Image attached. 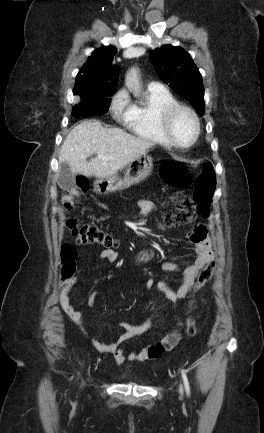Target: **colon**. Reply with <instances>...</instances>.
<instances>
[{"label": "colon", "instance_id": "obj_1", "mask_svg": "<svg viewBox=\"0 0 264 433\" xmlns=\"http://www.w3.org/2000/svg\"><path fill=\"white\" fill-rule=\"evenodd\" d=\"M161 173L163 180L175 188H187L194 186L192 195L179 194L176 199V208L163 217V227L175 228L192 223L197 217H206L210 214V205L215 190V173L213 165L205 162L200 170L193 175L190 170L177 162L166 161L162 164ZM88 182L79 179L76 184L68 189L63 196V207L72 210L75 201L88 190ZM66 225L75 241L79 245L97 244L105 248L117 247L116 240L103 229L90 224H78L73 218L66 221ZM77 251L70 244H64L61 249V277L65 282L70 279L76 271ZM215 262H208L198 273L191 289L189 308L193 304V296L211 278L215 270ZM194 320L189 318L186 325V334L190 337L196 335Z\"/></svg>", "mask_w": 264, "mask_h": 433}]
</instances>
